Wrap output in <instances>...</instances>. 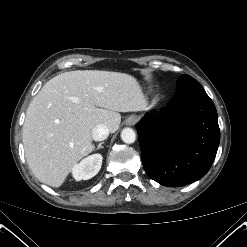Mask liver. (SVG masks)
Returning <instances> with one entry per match:
<instances>
[{
  "mask_svg": "<svg viewBox=\"0 0 247 247\" xmlns=\"http://www.w3.org/2000/svg\"><path fill=\"white\" fill-rule=\"evenodd\" d=\"M146 106L140 83L125 73L76 70L55 76L27 108L22 137L31 171L40 182L60 187L77 162L94 150L97 125L114 133L119 112Z\"/></svg>",
  "mask_w": 247,
  "mask_h": 247,
  "instance_id": "obj_1",
  "label": "liver"
}]
</instances>
